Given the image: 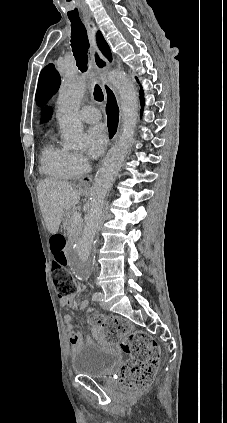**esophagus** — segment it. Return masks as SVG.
Here are the masks:
<instances>
[{
	"label": "esophagus",
	"mask_w": 227,
	"mask_h": 423,
	"mask_svg": "<svg viewBox=\"0 0 227 423\" xmlns=\"http://www.w3.org/2000/svg\"><path fill=\"white\" fill-rule=\"evenodd\" d=\"M85 23H86V26H87V31H88L89 41H90V49H91V55H92L93 63H94L96 70L99 73L102 88H103L104 93H105V106H104V108H105L106 117H107L106 123L109 126L108 127L109 131H108V135H107V140L110 142V141L114 140V136L117 134L116 123L118 124V128H119L120 119H121L120 103H119V99H118L116 91L110 85V83L108 82V80L106 78L107 72L110 69V63L102 55V53L100 52V50L97 46L96 34H97V31H98V28L95 25L93 20H90V19L86 20ZM92 179H93L92 175H84L82 178H80L79 184L89 185L91 183Z\"/></svg>",
	"instance_id": "obj_1"
}]
</instances>
